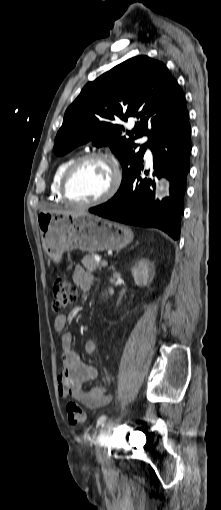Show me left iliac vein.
I'll return each instance as SVG.
<instances>
[{"mask_svg": "<svg viewBox=\"0 0 221 510\" xmlns=\"http://www.w3.org/2000/svg\"><path fill=\"white\" fill-rule=\"evenodd\" d=\"M115 425H116L115 421H109V422H107L104 425V427L102 428V430L100 432V435H99V441L100 442H105L106 440L109 439V437L111 436L112 431H113ZM96 455H97L98 459H101V454H100V448L99 447L97 448Z\"/></svg>", "mask_w": 221, "mask_h": 510, "instance_id": "left-iliac-vein-1", "label": "left iliac vein"}]
</instances>
